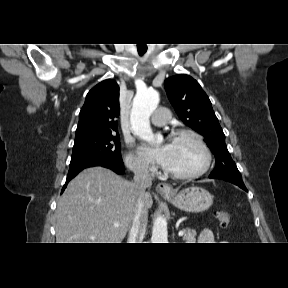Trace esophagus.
<instances>
[{
  "mask_svg": "<svg viewBox=\"0 0 288 288\" xmlns=\"http://www.w3.org/2000/svg\"><path fill=\"white\" fill-rule=\"evenodd\" d=\"M156 191L162 196H170L174 194L173 187L168 183H159L156 187Z\"/></svg>",
  "mask_w": 288,
  "mask_h": 288,
  "instance_id": "obj_1",
  "label": "esophagus"
}]
</instances>
